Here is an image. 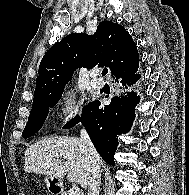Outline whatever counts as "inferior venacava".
Instances as JSON below:
<instances>
[{
    "label": "inferior vena cava",
    "instance_id": "inferior-vena-cava-1",
    "mask_svg": "<svg viewBox=\"0 0 189 195\" xmlns=\"http://www.w3.org/2000/svg\"><path fill=\"white\" fill-rule=\"evenodd\" d=\"M80 134L81 140L87 147V156L90 164L89 171L91 176L88 181V195H99L101 183L99 155L92 144L87 131L82 129Z\"/></svg>",
    "mask_w": 189,
    "mask_h": 195
}]
</instances>
